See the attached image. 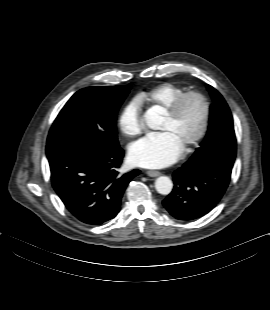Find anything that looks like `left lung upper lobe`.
I'll list each match as a JSON object with an SVG mask.
<instances>
[{"instance_id": "5c2ea615", "label": "left lung upper lobe", "mask_w": 270, "mask_h": 310, "mask_svg": "<svg viewBox=\"0 0 270 310\" xmlns=\"http://www.w3.org/2000/svg\"><path fill=\"white\" fill-rule=\"evenodd\" d=\"M207 88L215 99L210 108L208 134L188 161L232 169L236 157L232 115L220 93L210 85Z\"/></svg>"}]
</instances>
